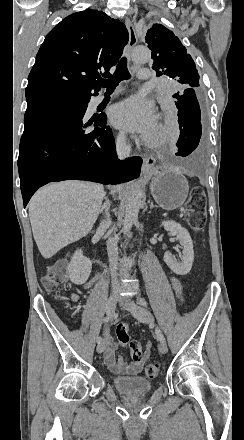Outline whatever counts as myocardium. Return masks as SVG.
<instances>
[{"label":"myocardium","instance_id":"1","mask_svg":"<svg viewBox=\"0 0 244 440\" xmlns=\"http://www.w3.org/2000/svg\"><path fill=\"white\" fill-rule=\"evenodd\" d=\"M160 128H161V130H162V129H163V126H161Z\"/></svg>","mask_w":244,"mask_h":440}]
</instances>
